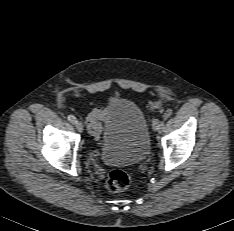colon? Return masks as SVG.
I'll return each mask as SVG.
<instances>
[{
  "instance_id": "1",
  "label": "colon",
  "mask_w": 234,
  "mask_h": 231,
  "mask_svg": "<svg viewBox=\"0 0 234 231\" xmlns=\"http://www.w3.org/2000/svg\"><path fill=\"white\" fill-rule=\"evenodd\" d=\"M131 181L132 176L129 172L114 169L108 174L106 185L111 192H121L129 187Z\"/></svg>"
}]
</instances>
